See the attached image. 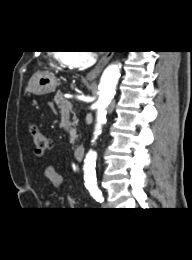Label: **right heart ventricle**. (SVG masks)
I'll return each mask as SVG.
<instances>
[{
    "label": "right heart ventricle",
    "instance_id": "e07e8e85",
    "mask_svg": "<svg viewBox=\"0 0 192 260\" xmlns=\"http://www.w3.org/2000/svg\"><path fill=\"white\" fill-rule=\"evenodd\" d=\"M66 55L67 53H64V52H58L55 54V58L60 61L61 63L65 64V65H68L67 62H66Z\"/></svg>",
    "mask_w": 192,
    "mask_h": 260
}]
</instances>
